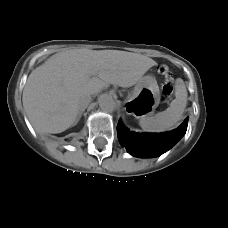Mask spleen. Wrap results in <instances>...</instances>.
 Here are the masks:
<instances>
[{
	"mask_svg": "<svg viewBox=\"0 0 228 228\" xmlns=\"http://www.w3.org/2000/svg\"><path fill=\"white\" fill-rule=\"evenodd\" d=\"M176 98L170 106L154 116H147L140 119V126L147 132H163L172 128L182 117L187 105V89L183 83L176 86Z\"/></svg>",
	"mask_w": 228,
	"mask_h": 228,
	"instance_id": "1",
	"label": "spleen"
}]
</instances>
